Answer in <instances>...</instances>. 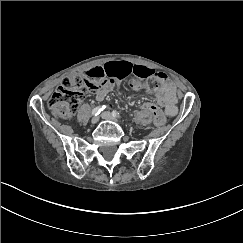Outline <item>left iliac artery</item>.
<instances>
[{"label": "left iliac artery", "mask_w": 243, "mask_h": 243, "mask_svg": "<svg viewBox=\"0 0 243 243\" xmlns=\"http://www.w3.org/2000/svg\"><path fill=\"white\" fill-rule=\"evenodd\" d=\"M112 115L114 116V117H120V113L118 112V111H113L112 112Z\"/></svg>", "instance_id": "obj_1"}]
</instances>
